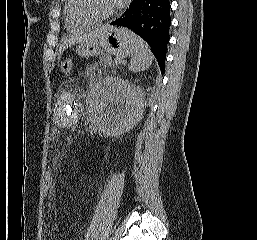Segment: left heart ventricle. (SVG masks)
<instances>
[{"label":"left heart ventricle","instance_id":"left-heart-ventricle-1","mask_svg":"<svg viewBox=\"0 0 257 240\" xmlns=\"http://www.w3.org/2000/svg\"><path fill=\"white\" fill-rule=\"evenodd\" d=\"M91 10L97 15H105L114 9L112 0H89Z\"/></svg>","mask_w":257,"mask_h":240}]
</instances>
